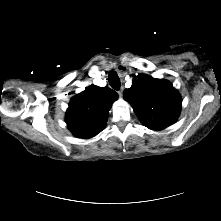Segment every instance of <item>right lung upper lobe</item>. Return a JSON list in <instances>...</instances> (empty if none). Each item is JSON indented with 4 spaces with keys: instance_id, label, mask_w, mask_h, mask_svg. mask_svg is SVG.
<instances>
[{
    "instance_id": "obj_1",
    "label": "right lung upper lobe",
    "mask_w": 221,
    "mask_h": 221,
    "mask_svg": "<svg viewBox=\"0 0 221 221\" xmlns=\"http://www.w3.org/2000/svg\"><path fill=\"white\" fill-rule=\"evenodd\" d=\"M117 98L118 94L108 87H86L70 100L66 112L68 128L78 138L97 135L105 128L109 110Z\"/></svg>"
}]
</instances>
